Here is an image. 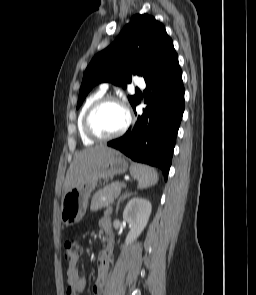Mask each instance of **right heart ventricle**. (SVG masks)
I'll list each match as a JSON object with an SVG mask.
<instances>
[{
    "mask_svg": "<svg viewBox=\"0 0 256 295\" xmlns=\"http://www.w3.org/2000/svg\"><path fill=\"white\" fill-rule=\"evenodd\" d=\"M103 95H104V92L102 90H98V91L93 92L92 94H90L86 98V100L80 110L78 121H77V126H78L79 135H80L81 140L84 145H87V146L93 145L95 142L92 139H90L84 131L83 120H84L85 113L88 110V108L90 107V105Z\"/></svg>",
    "mask_w": 256,
    "mask_h": 295,
    "instance_id": "1",
    "label": "right heart ventricle"
}]
</instances>
